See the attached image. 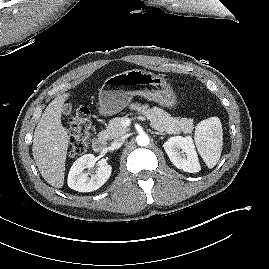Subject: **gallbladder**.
Returning a JSON list of instances; mask_svg holds the SVG:
<instances>
[{
  "instance_id": "obj_1",
  "label": "gallbladder",
  "mask_w": 269,
  "mask_h": 269,
  "mask_svg": "<svg viewBox=\"0 0 269 269\" xmlns=\"http://www.w3.org/2000/svg\"><path fill=\"white\" fill-rule=\"evenodd\" d=\"M72 110H73L72 105L71 104H66V105H64L62 112H63L64 115L67 116V115L71 114Z\"/></svg>"
}]
</instances>
